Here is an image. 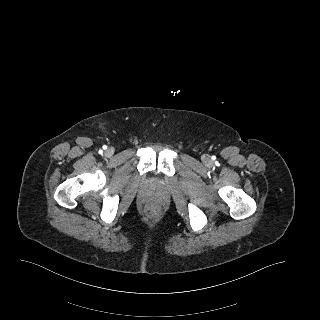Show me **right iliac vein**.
Listing matches in <instances>:
<instances>
[{"mask_svg": "<svg viewBox=\"0 0 320 320\" xmlns=\"http://www.w3.org/2000/svg\"><path fill=\"white\" fill-rule=\"evenodd\" d=\"M113 153H114V151H113L112 148H109V149H107V150L105 151V155H107V156H111V155H113Z\"/></svg>", "mask_w": 320, "mask_h": 320, "instance_id": "1", "label": "right iliac vein"}]
</instances>
